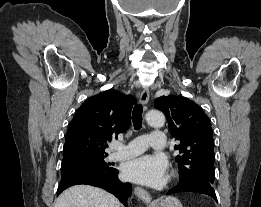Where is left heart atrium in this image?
<instances>
[{
  "instance_id": "left-heart-atrium-1",
  "label": "left heart atrium",
  "mask_w": 261,
  "mask_h": 207,
  "mask_svg": "<svg viewBox=\"0 0 261 207\" xmlns=\"http://www.w3.org/2000/svg\"><path fill=\"white\" fill-rule=\"evenodd\" d=\"M167 162L161 155H143L123 166L125 179L147 186L161 185L166 176Z\"/></svg>"
}]
</instances>
